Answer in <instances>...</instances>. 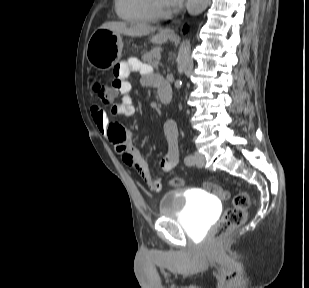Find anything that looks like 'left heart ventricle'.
<instances>
[{"mask_svg": "<svg viewBox=\"0 0 309 288\" xmlns=\"http://www.w3.org/2000/svg\"><path fill=\"white\" fill-rule=\"evenodd\" d=\"M161 2L165 5V7L167 8V5L165 4V1L164 0H161Z\"/></svg>", "mask_w": 309, "mask_h": 288, "instance_id": "1", "label": "left heart ventricle"}]
</instances>
